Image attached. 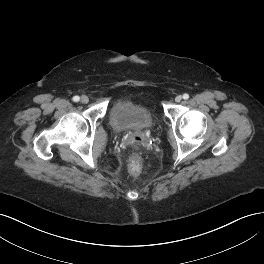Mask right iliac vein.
Segmentation results:
<instances>
[{
  "mask_svg": "<svg viewBox=\"0 0 264 264\" xmlns=\"http://www.w3.org/2000/svg\"><path fill=\"white\" fill-rule=\"evenodd\" d=\"M80 101L83 103V104H87L89 102V98L85 95H83L80 99Z\"/></svg>",
  "mask_w": 264,
  "mask_h": 264,
  "instance_id": "63e3f726",
  "label": "right iliac vein"
}]
</instances>
